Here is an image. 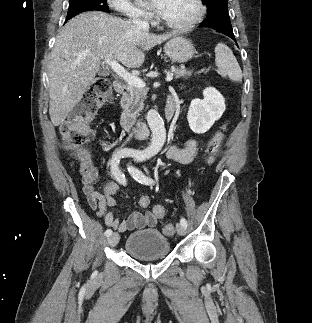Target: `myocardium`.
<instances>
[{
    "label": "myocardium",
    "mask_w": 312,
    "mask_h": 323,
    "mask_svg": "<svg viewBox=\"0 0 312 323\" xmlns=\"http://www.w3.org/2000/svg\"><path fill=\"white\" fill-rule=\"evenodd\" d=\"M205 0H192L197 6L193 12V18H185V20H176L175 18H161V25H172V27H189L195 25L196 21H205L206 13L210 11L209 3H204Z\"/></svg>",
    "instance_id": "1"
}]
</instances>
